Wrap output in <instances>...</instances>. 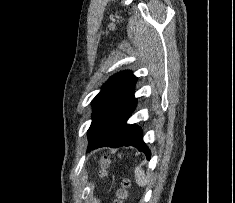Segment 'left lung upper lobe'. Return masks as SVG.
<instances>
[{
	"label": "left lung upper lobe",
	"mask_w": 235,
	"mask_h": 203,
	"mask_svg": "<svg viewBox=\"0 0 235 203\" xmlns=\"http://www.w3.org/2000/svg\"><path fill=\"white\" fill-rule=\"evenodd\" d=\"M137 78L131 71H123L109 78L92 101V124L88 130L89 145L110 125L134 91Z\"/></svg>",
	"instance_id": "5c2ea615"
}]
</instances>
